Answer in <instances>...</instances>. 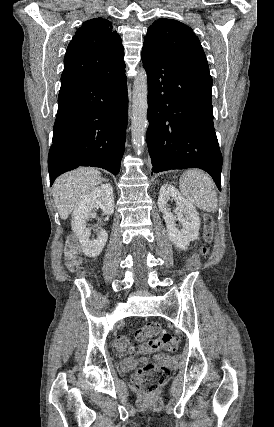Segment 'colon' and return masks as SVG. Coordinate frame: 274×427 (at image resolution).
<instances>
[{
	"instance_id": "colon-1",
	"label": "colon",
	"mask_w": 274,
	"mask_h": 427,
	"mask_svg": "<svg viewBox=\"0 0 274 427\" xmlns=\"http://www.w3.org/2000/svg\"><path fill=\"white\" fill-rule=\"evenodd\" d=\"M213 221L211 218L205 220L204 238L206 242L212 239ZM207 248H201V255H206ZM81 261L77 256V246L72 240L65 244V265L70 271H76L80 267ZM147 343L150 349L157 347L173 352L177 347V341L173 336L162 330L161 326L155 322H149L138 328L133 338L127 335H118L115 338V347L119 353H125L135 344ZM146 361L138 370L133 373L132 383L139 389L140 395H158L159 389H163L167 378V369L161 366L147 364Z\"/></svg>"
}]
</instances>
